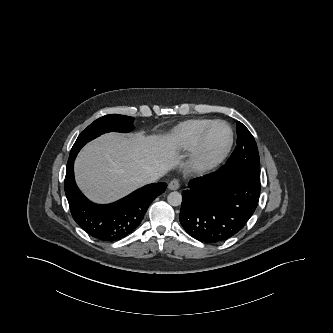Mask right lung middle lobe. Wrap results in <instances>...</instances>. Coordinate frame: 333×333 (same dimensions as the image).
Wrapping results in <instances>:
<instances>
[{
  "instance_id": "dd1d6c3e",
  "label": "right lung middle lobe",
  "mask_w": 333,
  "mask_h": 333,
  "mask_svg": "<svg viewBox=\"0 0 333 333\" xmlns=\"http://www.w3.org/2000/svg\"><path fill=\"white\" fill-rule=\"evenodd\" d=\"M133 119L130 116L110 114L95 120L78 136L71 149L69 160L76 158L77 153L87 142L101 134L112 131L123 133L131 131L133 129Z\"/></svg>"
}]
</instances>
